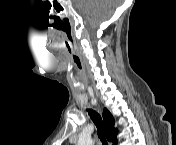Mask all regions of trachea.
<instances>
[{
  "mask_svg": "<svg viewBox=\"0 0 176 145\" xmlns=\"http://www.w3.org/2000/svg\"><path fill=\"white\" fill-rule=\"evenodd\" d=\"M88 111H89L90 118L92 119V121L97 127L99 139L101 140L103 145H108L106 138L104 136L106 132L105 123L102 121L101 116L93 110L89 109Z\"/></svg>",
  "mask_w": 176,
  "mask_h": 145,
  "instance_id": "3493384b",
  "label": "trachea"
}]
</instances>
